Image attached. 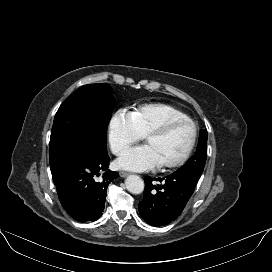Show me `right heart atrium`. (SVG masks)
<instances>
[{
	"mask_svg": "<svg viewBox=\"0 0 272 272\" xmlns=\"http://www.w3.org/2000/svg\"><path fill=\"white\" fill-rule=\"evenodd\" d=\"M142 136L132 112L127 109H118L111 115L107 127V138L114 154H121Z\"/></svg>",
	"mask_w": 272,
	"mask_h": 272,
	"instance_id": "right-heart-atrium-1",
	"label": "right heart atrium"
}]
</instances>
